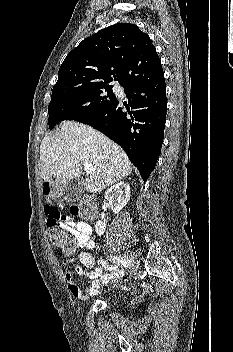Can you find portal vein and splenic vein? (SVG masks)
<instances>
[{"mask_svg": "<svg viewBox=\"0 0 233 352\" xmlns=\"http://www.w3.org/2000/svg\"><path fill=\"white\" fill-rule=\"evenodd\" d=\"M84 171L90 174L93 171V166L91 164H84Z\"/></svg>", "mask_w": 233, "mask_h": 352, "instance_id": "18ae733b", "label": "portal vein and splenic vein"}]
</instances>
